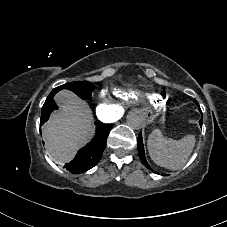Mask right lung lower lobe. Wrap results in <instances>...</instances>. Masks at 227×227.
Returning a JSON list of instances; mask_svg holds the SVG:
<instances>
[{"mask_svg":"<svg viewBox=\"0 0 227 227\" xmlns=\"http://www.w3.org/2000/svg\"><path fill=\"white\" fill-rule=\"evenodd\" d=\"M55 109H57V105L53 101L46 112L41 114L40 126L48 120L50 113ZM95 124L97 125L95 137L90 143L78 151L70 163L65 164L66 170L73 173H83L94 167L100 161L106 147L107 137L113 125L104 124L100 121H96Z\"/></svg>","mask_w":227,"mask_h":227,"instance_id":"1","label":"right lung lower lobe"}]
</instances>
